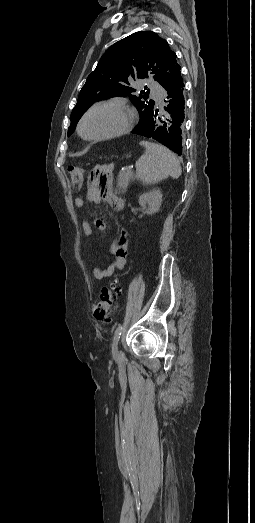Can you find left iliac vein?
Instances as JSON below:
<instances>
[{
	"label": "left iliac vein",
	"mask_w": 255,
	"mask_h": 523,
	"mask_svg": "<svg viewBox=\"0 0 255 523\" xmlns=\"http://www.w3.org/2000/svg\"><path fill=\"white\" fill-rule=\"evenodd\" d=\"M117 356L121 358L122 357L121 352L117 351Z\"/></svg>",
	"instance_id": "4c4485c4"
}]
</instances>
